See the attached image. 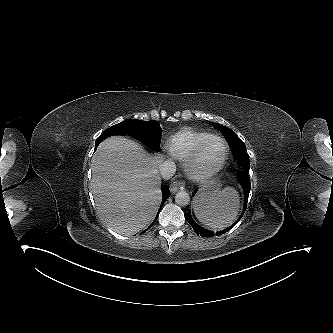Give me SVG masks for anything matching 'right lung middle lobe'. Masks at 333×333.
Listing matches in <instances>:
<instances>
[{"mask_svg":"<svg viewBox=\"0 0 333 333\" xmlns=\"http://www.w3.org/2000/svg\"><path fill=\"white\" fill-rule=\"evenodd\" d=\"M113 135H129L155 151H159L162 129L156 121L127 119L105 130Z\"/></svg>","mask_w":333,"mask_h":333,"instance_id":"right-lung-middle-lobe-1","label":"right lung middle lobe"}]
</instances>
